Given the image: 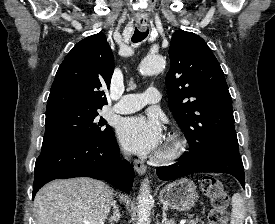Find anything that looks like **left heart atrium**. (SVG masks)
<instances>
[{"label":"left heart atrium","mask_w":275,"mask_h":224,"mask_svg":"<svg viewBox=\"0 0 275 224\" xmlns=\"http://www.w3.org/2000/svg\"><path fill=\"white\" fill-rule=\"evenodd\" d=\"M117 132L121 144L138 154L152 152L162 142V129L156 117L138 115L124 118L120 121Z\"/></svg>","instance_id":"1"}]
</instances>
